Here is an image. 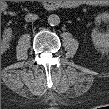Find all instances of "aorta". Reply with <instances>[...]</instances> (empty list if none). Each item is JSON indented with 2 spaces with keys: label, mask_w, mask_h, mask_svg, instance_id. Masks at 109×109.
Returning <instances> with one entry per match:
<instances>
[{
  "label": "aorta",
  "mask_w": 109,
  "mask_h": 109,
  "mask_svg": "<svg viewBox=\"0 0 109 109\" xmlns=\"http://www.w3.org/2000/svg\"><path fill=\"white\" fill-rule=\"evenodd\" d=\"M48 24L51 26H57L60 23V18L56 14H51L48 17Z\"/></svg>",
  "instance_id": "762f6f07"
}]
</instances>
